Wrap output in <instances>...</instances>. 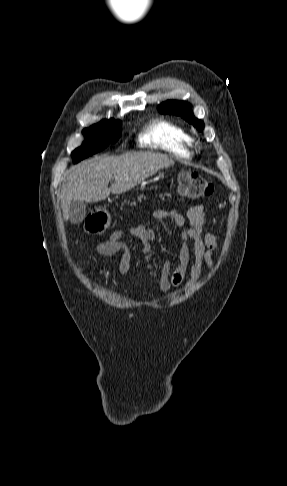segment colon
<instances>
[{
  "label": "colon",
  "instance_id": "1",
  "mask_svg": "<svg viewBox=\"0 0 287 486\" xmlns=\"http://www.w3.org/2000/svg\"><path fill=\"white\" fill-rule=\"evenodd\" d=\"M181 194L191 198L209 197L213 194V185L197 173L185 171L179 175ZM110 217L104 208H96L87 216L84 229L90 234L103 233L109 226Z\"/></svg>",
  "mask_w": 287,
  "mask_h": 486
}]
</instances>
